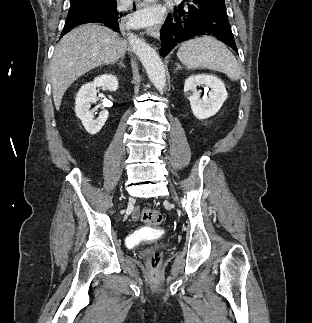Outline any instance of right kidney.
<instances>
[{
    "instance_id": "1",
    "label": "right kidney",
    "mask_w": 312,
    "mask_h": 323,
    "mask_svg": "<svg viewBox=\"0 0 312 323\" xmlns=\"http://www.w3.org/2000/svg\"><path fill=\"white\" fill-rule=\"evenodd\" d=\"M96 88H105V90H110V92H116L119 88L118 80L116 76H111V74L99 76V78H95L94 82L84 84L76 96L75 114L77 118H80L85 130L91 136L100 132L108 118L107 110H103L95 120V110H90L91 104L97 102Z\"/></svg>"
}]
</instances>
